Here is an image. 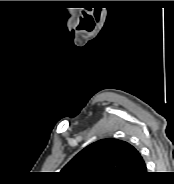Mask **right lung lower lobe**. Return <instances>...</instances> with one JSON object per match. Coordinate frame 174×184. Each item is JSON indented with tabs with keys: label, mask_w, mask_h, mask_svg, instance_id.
<instances>
[{
	"label": "right lung lower lobe",
	"mask_w": 174,
	"mask_h": 184,
	"mask_svg": "<svg viewBox=\"0 0 174 184\" xmlns=\"http://www.w3.org/2000/svg\"><path fill=\"white\" fill-rule=\"evenodd\" d=\"M147 171L142 172L138 177L133 178L129 181L122 182L121 184H139L142 183V178L146 175Z\"/></svg>",
	"instance_id": "98d812e1"
}]
</instances>
